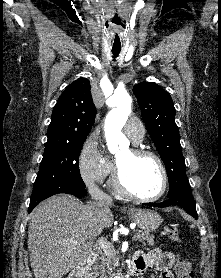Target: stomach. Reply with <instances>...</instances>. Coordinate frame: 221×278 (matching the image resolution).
I'll use <instances>...</instances> for the list:
<instances>
[{
    "label": "stomach",
    "mask_w": 221,
    "mask_h": 278,
    "mask_svg": "<svg viewBox=\"0 0 221 278\" xmlns=\"http://www.w3.org/2000/svg\"><path fill=\"white\" fill-rule=\"evenodd\" d=\"M127 214L130 220L146 232L155 231L162 223L160 214L153 210L129 208Z\"/></svg>",
    "instance_id": "stomach-1"
}]
</instances>
